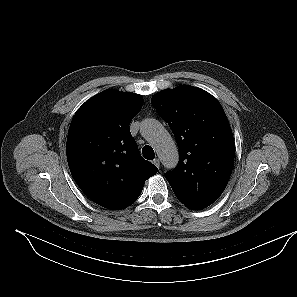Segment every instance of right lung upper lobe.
Wrapping results in <instances>:
<instances>
[{
    "mask_svg": "<svg viewBox=\"0 0 297 297\" xmlns=\"http://www.w3.org/2000/svg\"><path fill=\"white\" fill-rule=\"evenodd\" d=\"M143 105L141 95L105 90L75 113L67 137V161L80 189L111 210L133 204L145 181L158 171L144 160L129 124Z\"/></svg>",
    "mask_w": 297,
    "mask_h": 297,
    "instance_id": "obj_1",
    "label": "right lung upper lobe"
}]
</instances>
